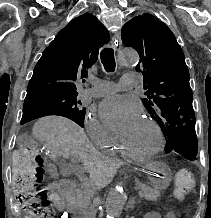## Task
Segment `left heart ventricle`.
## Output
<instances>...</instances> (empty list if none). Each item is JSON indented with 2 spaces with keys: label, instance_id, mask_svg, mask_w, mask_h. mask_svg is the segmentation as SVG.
<instances>
[{
  "label": "left heart ventricle",
  "instance_id": "b2bd125f",
  "mask_svg": "<svg viewBox=\"0 0 211 218\" xmlns=\"http://www.w3.org/2000/svg\"><path fill=\"white\" fill-rule=\"evenodd\" d=\"M122 140L129 149L138 153L151 152L158 144V138L154 129L144 119Z\"/></svg>",
  "mask_w": 211,
  "mask_h": 218
}]
</instances>
